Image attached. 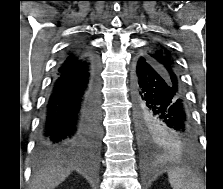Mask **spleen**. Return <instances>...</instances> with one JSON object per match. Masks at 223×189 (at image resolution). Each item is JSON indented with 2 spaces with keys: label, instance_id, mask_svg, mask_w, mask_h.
<instances>
[{
  "label": "spleen",
  "instance_id": "1",
  "mask_svg": "<svg viewBox=\"0 0 223 189\" xmlns=\"http://www.w3.org/2000/svg\"><path fill=\"white\" fill-rule=\"evenodd\" d=\"M169 182L173 189H198L196 177L185 168H176L168 172Z\"/></svg>",
  "mask_w": 223,
  "mask_h": 189
}]
</instances>
